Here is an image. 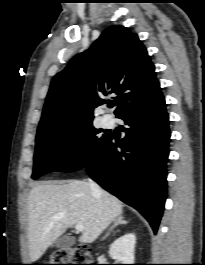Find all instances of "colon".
Listing matches in <instances>:
<instances>
[{"label": "colon", "mask_w": 205, "mask_h": 265, "mask_svg": "<svg viewBox=\"0 0 205 265\" xmlns=\"http://www.w3.org/2000/svg\"><path fill=\"white\" fill-rule=\"evenodd\" d=\"M90 250L86 245H78L55 251L45 265H92Z\"/></svg>", "instance_id": "5ec220e1"}]
</instances>
